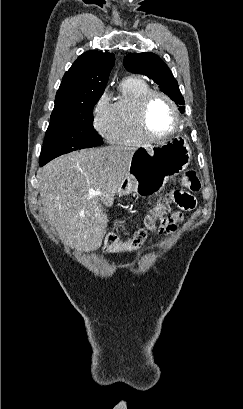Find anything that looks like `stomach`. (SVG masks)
Wrapping results in <instances>:
<instances>
[{
  "label": "stomach",
  "mask_w": 243,
  "mask_h": 409,
  "mask_svg": "<svg viewBox=\"0 0 243 409\" xmlns=\"http://www.w3.org/2000/svg\"><path fill=\"white\" fill-rule=\"evenodd\" d=\"M190 160L191 149L181 137L150 148L137 149L130 170L117 192L120 196L157 194L170 178L188 167Z\"/></svg>",
  "instance_id": "1"
}]
</instances>
